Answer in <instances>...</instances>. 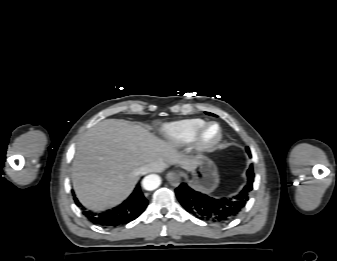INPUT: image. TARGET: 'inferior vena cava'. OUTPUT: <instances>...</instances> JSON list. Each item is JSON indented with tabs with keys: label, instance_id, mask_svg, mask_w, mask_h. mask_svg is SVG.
<instances>
[{
	"label": "inferior vena cava",
	"instance_id": "inferior-vena-cava-1",
	"mask_svg": "<svg viewBox=\"0 0 337 261\" xmlns=\"http://www.w3.org/2000/svg\"><path fill=\"white\" fill-rule=\"evenodd\" d=\"M163 167H165V163H163V162L147 164V165L141 167L140 174H147V173H150V172L159 171Z\"/></svg>",
	"mask_w": 337,
	"mask_h": 261
}]
</instances>
